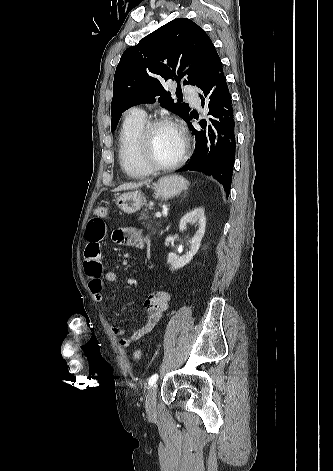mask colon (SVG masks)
<instances>
[{
    "label": "colon",
    "instance_id": "obj_1",
    "mask_svg": "<svg viewBox=\"0 0 333 471\" xmlns=\"http://www.w3.org/2000/svg\"><path fill=\"white\" fill-rule=\"evenodd\" d=\"M94 214L99 217H105L107 215V208L103 206L97 207ZM134 358L136 360H140L142 358V351L140 349L134 351Z\"/></svg>",
    "mask_w": 333,
    "mask_h": 471
}]
</instances>
